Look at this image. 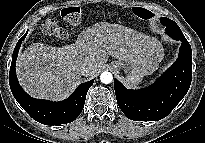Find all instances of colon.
Here are the masks:
<instances>
[{"instance_id": "1", "label": "colon", "mask_w": 205, "mask_h": 143, "mask_svg": "<svg viewBox=\"0 0 205 143\" xmlns=\"http://www.w3.org/2000/svg\"><path fill=\"white\" fill-rule=\"evenodd\" d=\"M133 14L141 19L149 20L153 18L154 14L143 7H134L132 9ZM62 19L72 27L78 26L81 22V9L78 6H69L61 10ZM44 34L51 36L59 40H67L72 36V32L68 31L57 23L53 18H47L42 23L41 27Z\"/></svg>"}]
</instances>
